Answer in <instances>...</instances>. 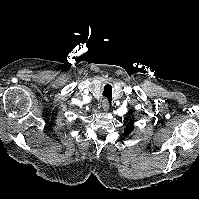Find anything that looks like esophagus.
Segmentation results:
<instances>
[{"instance_id":"esophagus-1","label":"esophagus","mask_w":199,"mask_h":199,"mask_svg":"<svg viewBox=\"0 0 199 199\" xmlns=\"http://www.w3.org/2000/svg\"><path fill=\"white\" fill-rule=\"evenodd\" d=\"M109 107H110V104H109V102L107 100H105V101L102 102V109L104 111H108Z\"/></svg>"}]
</instances>
